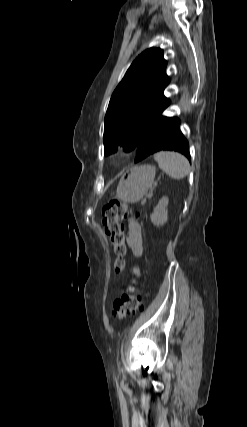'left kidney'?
<instances>
[{"label":"left kidney","mask_w":247,"mask_h":427,"mask_svg":"<svg viewBox=\"0 0 247 427\" xmlns=\"http://www.w3.org/2000/svg\"><path fill=\"white\" fill-rule=\"evenodd\" d=\"M169 203L168 197H163L159 200V203L154 208L153 213L150 215L152 223L159 227L163 226L168 220L167 206Z\"/></svg>","instance_id":"1"}]
</instances>
